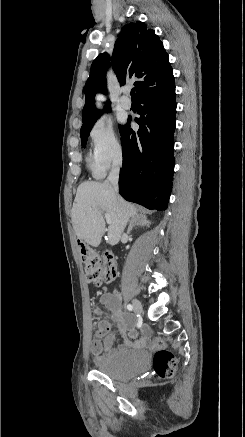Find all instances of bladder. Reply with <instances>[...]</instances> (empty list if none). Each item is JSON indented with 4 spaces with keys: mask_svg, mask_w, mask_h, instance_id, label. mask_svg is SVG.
<instances>
[{
    "mask_svg": "<svg viewBox=\"0 0 245 437\" xmlns=\"http://www.w3.org/2000/svg\"><path fill=\"white\" fill-rule=\"evenodd\" d=\"M150 362L148 351L119 348L96 363V369L108 377L127 381L144 372Z\"/></svg>",
    "mask_w": 245,
    "mask_h": 437,
    "instance_id": "bladder-1",
    "label": "bladder"
}]
</instances>
